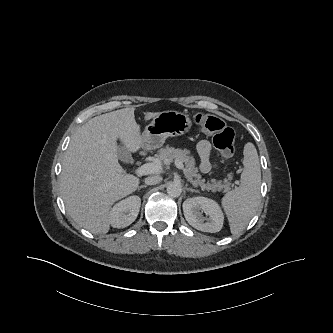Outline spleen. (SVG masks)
I'll list each match as a JSON object with an SVG mask.
<instances>
[{
  "label": "spleen",
  "mask_w": 333,
  "mask_h": 333,
  "mask_svg": "<svg viewBox=\"0 0 333 333\" xmlns=\"http://www.w3.org/2000/svg\"><path fill=\"white\" fill-rule=\"evenodd\" d=\"M243 154L244 169L240 185L226 193L221 201L232 234H238L246 228L260 203L261 170L257 150L248 142Z\"/></svg>",
  "instance_id": "1"
}]
</instances>
